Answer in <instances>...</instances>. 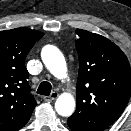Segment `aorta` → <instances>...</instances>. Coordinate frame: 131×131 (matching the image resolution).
Here are the masks:
<instances>
[{
    "instance_id": "762f6f07",
    "label": "aorta",
    "mask_w": 131,
    "mask_h": 131,
    "mask_svg": "<svg viewBox=\"0 0 131 131\" xmlns=\"http://www.w3.org/2000/svg\"><path fill=\"white\" fill-rule=\"evenodd\" d=\"M42 61L46 68L56 77L63 78L67 75V65L63 54L58 48L47 45L41 53ZM56 112L61 116H70L75 109V100L71 94H61L55 102Z\"/></svg>"
}]
</instances>
